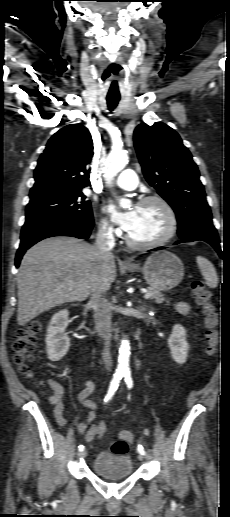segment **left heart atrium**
Instances as JSON below:
<instances>
[{
    "label": "left heart atrium",
    "mask_w": 230,
    "mask_h": 517,
    "mask_svg": "<svg viewBox=\"0 0 230 517\" xmlns=\"http://www.w3.org/2000/svg\"><path fill=\"white\" fill-rule=\"evenodd\" d=\"M107 210L111 213L113 219L121 225V227L129 232L135 224L137 218L136 207L129 209L125 212H119L115 205L110 204Z\"/></svg>",
    "instance_id": "obj_1"
}]
</instances>
